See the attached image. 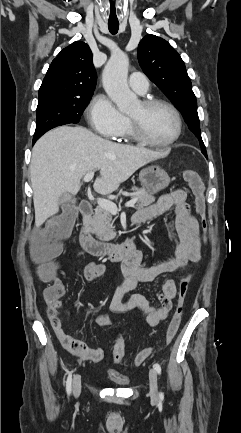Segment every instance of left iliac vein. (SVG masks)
Returning <instances> with one entry per match:
<instances>
[{
    "label": "left iliac vein",
    "instance_id": "1",
    "mask_svg": "<svg viewBox=\"0 0 241 433\" xmlns=\"http://www.w3.org/2000/svg\"><path fill=\"white\" fill-rule=\"evenodd\" d=\"M149 382H150V397L152 400L156 401L158 399V382H157V372L154 368L149 371Z\"/></svg>",
    "mask_w": 241,
    "mask_h": 433
}]
</instances>
